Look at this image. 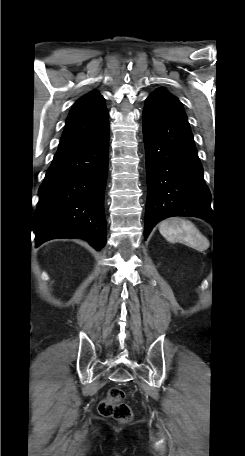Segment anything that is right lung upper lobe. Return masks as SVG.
<instances>
[{"instance_id": "1", "label": "right lung upper lobe", "mask_w": 245, "mask_h": 456, "mask_svg": "<svg viewBox=\"0 0 245 456\" xmlns=\"http://www.w3.org/2000/svg\"><path fill=\"white\" fill-rule=\"evenodd\" d=\"M108 116L104 98L97 91L79 98L68 115L56 154L92 144L108 124Z\"/></svg>"}]
</instances>
